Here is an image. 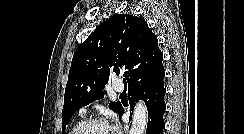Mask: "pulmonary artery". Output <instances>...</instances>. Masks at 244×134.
Returning <instances> with one entry per match:
<instances>
[{
  "mask_svg": "<svg viewBox=\"0 0 244 134\" xmlns=\"http://www.w3.org/2000/svg\"><path fill=\"white\" fill-rule=\"evenodd\" d=\"M115 92H122L124 90V84L121 81H115L112 86ZM86 110L83 108L81 109V113H85Z\"/></svg>",
  "mask_w": 244,
  "mask_h": 134,
  "instance_id": "1",
  "label": "pulmonary artery"
}]
</instances>
